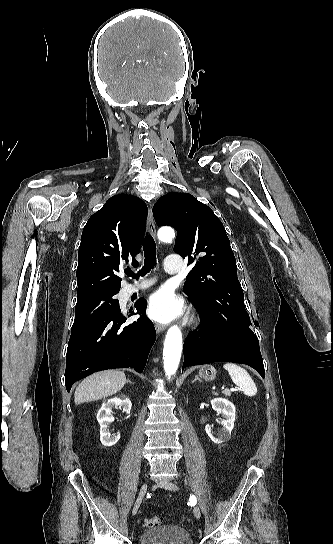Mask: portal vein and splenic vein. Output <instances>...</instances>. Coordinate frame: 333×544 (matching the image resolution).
<instances>
[{
  "label": "portal vein and splenic vein",
  "instance_id": "portal-vein-and-splenic-vein-1",
  "mask_svg": "<svg viewBox=\"0 0 333 544\" xmlns=\"http://www.w3.org/2000/svg\"><path fill=\"white\" fill-rule=\"evenodd\" d=\"M236 390H237L236 388H232V389H230V391H236Z\"/></svg>",
  "mask_w": 333,
  "mask_h": 544
}]
</instances>
